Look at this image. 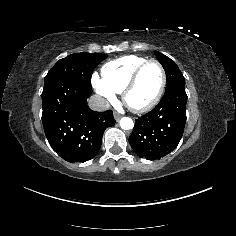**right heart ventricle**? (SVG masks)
I'll use <instances>...</instances> for the list:
<instances>
[{
  "instance_id": "obj_1",
  "label": "right heart ventricle",
  "mask_w": 236,
  "mask_h": 236,
  "mask_svg": "<svg viewBox=\"0 0 236 236\" xmlns=\"http://www.w3.org/2000/svg\"><path fill=\"white\" fill-rule=\"evenodd\" d=\"M147 58L127 55L105 63L101 68V78L114 93H122L133 71Z\"/></svg>"
}]
</instances>
